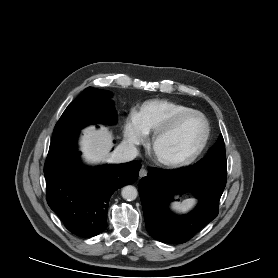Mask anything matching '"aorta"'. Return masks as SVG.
<instances>
[{
    "instance_id": "762f6f07",
    "label": "aorta",
    "mask_w": 278,
    "mask_h": 278,
    "mask_svg": "<svg viewBox=\"0 0 278 278\" xmlns=\"http://www.w3.org/2000/svg\"><path fill=\"white\" fill-rule=\"evenodd\" d=\"M121 195H122L123 199H125L127 201H133L136 199L138 192L134 186L128 185V186L123 187V189L121 191Z\"/></svg>"
}]
</instances>
